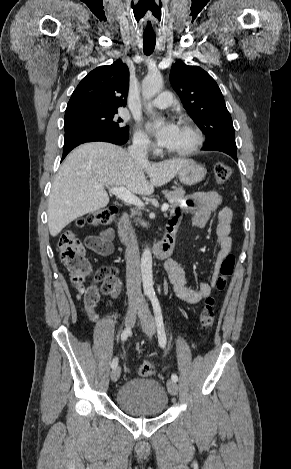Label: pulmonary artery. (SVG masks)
Wrapping results in <instances>:
<instances>
[{
    "label": "pulmonary artery",
    "mask_w": 291,
    "mask_h": 469,
    "mask_svg": "<svg viewBox=\"0 0 291 469\" xmlns=\"http://www.w3.org/2000/svg\"><path fill=\"white\" fill-rule=\"evenodd\" d=\"M172 103V94L168 91H163L151 102V105L158 109H166L170 107Z\"/></svg>",
    "instance_id": "e3ab8cb5"
}]
</instances>
